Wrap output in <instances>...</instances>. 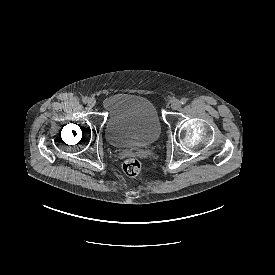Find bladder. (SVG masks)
<instances>
[{
  "mask_svg": "<svg viewBox=\"0 0 275 275\" xmlns=\"http://www.w3.org/2000/svg\"><path fill=\"white\" fill-rule=\"evenodd\" d=\"M107 114V140L118 148H142L155 141L161 125L154 105L129 93H116L102 100Z\"/></svg>",
  "mask_w": 275,
  "mask_h": 275,
  "instance_id": "31cf9c89",
  "label": "bladder"
}]
</instances>
